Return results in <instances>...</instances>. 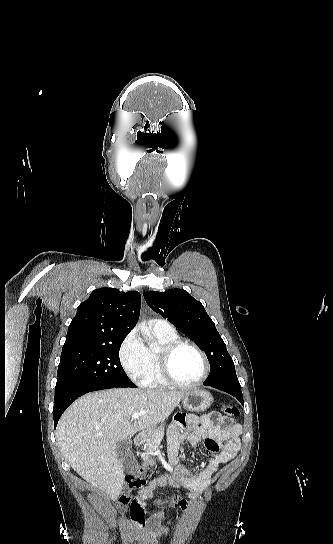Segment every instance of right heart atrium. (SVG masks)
I'll return each mask as SVG.
<instances>
[{
    "label": "right heart atrium",
    "mask_w": 333,
    "mask_h": 544,
    "mask_svg": "<svg viewBox=\"0 0 333 544\" xmlns=\"http://www.w3.org/2000/svg\"><path fill=\"white\" fill-rule=\"evenodd\" d=\"M118 358L126 375L140 383L145 369V345L136 330H131L123 339Z\"/></svg>",
    "instance_id": "obj_1"
}]
</instances>
